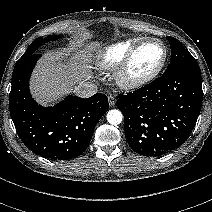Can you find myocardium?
<instances>
[{
    "mask_svg": "<svg viewBox=\"0 0 212 212\" xmlns=\"http://www.w3.org/2000/svg\"><path fill=\"white\" fill-rule=\"evenodd\" d=\"M150 43H157L162 47L163 56L161 61L154 69L145 74L139 76L132 75L131 66L136 54L143 46ZM167 58H168V50L166 45L161 40L155 38L143 39L131 48V50L128 52L126 57L119 65L115 77L116 83L118 84L119 87L125 90H135L141 88L150 83L151 81H153L160 74V72L162 71V69L166 64Z\"/></svg>",
    "mask_w": 212,
    "mask_h": 212,
    "instance_id": "1",
    "label": "myocardium"
}]
</instances>
